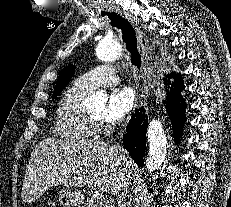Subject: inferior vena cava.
<instances>
[{
    "mask_svg": "<svg viewBox=\"0 0 231 207\" xmlns=\"http://www.w3.org/2000/svg\"><path fill=\"white\" fill-rule=\"evenodd\" d=\"M114 149L116 150V152L119 155V160L121 162V165L125 166L127 159H126V156L123 152V149H121L118 146H114ZM122 190H123V188L120 189L118 192L117 207H125V195H124V193L121 192Z\"/></svg>",
    "mask_w": 231,
    "mask_h": 207,
    "instance_id": "inferior-vena-cava-1",
    "label": "inferior vena cava"
}]
</instances>
